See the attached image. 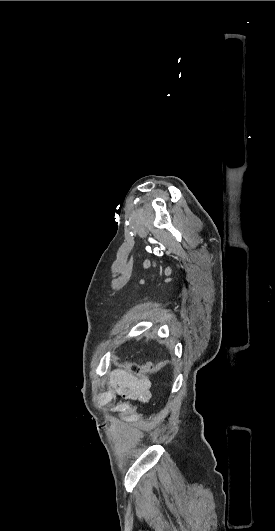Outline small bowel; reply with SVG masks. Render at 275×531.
Masks as SVG:
<instances>
[{
	"instance_id": "1",
	"label": "small bowel",
	"mask_w": 275,
	"mask_h": 531,
	"mask_svg": "<svg viewBox=\"0 0 275 531\" xmlns=\"http://www.w3.org/2000/svg\"><path fill=\"white\" fill-rule=\"evenodd\" d=\"M109 387L127 400L145 404L151 398V380L131 375L124 370H114L110 373Z\"/></svg>"
}]
</instances>
